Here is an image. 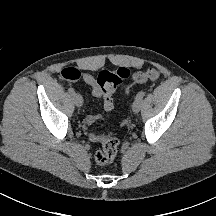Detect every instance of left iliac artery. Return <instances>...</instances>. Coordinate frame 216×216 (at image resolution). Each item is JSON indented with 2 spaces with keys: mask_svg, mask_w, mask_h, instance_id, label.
I'll use <instances>...</instances> for the list:
<instances>
[{
  "mask_svg": "<svg viewBox=\"0 0 216 216\" xmlns=\"http://www.w3.org/2000/svg\"><path fill=\"white\" fill-rule=\"evenodd\" d=\"M145 96V92L141 91L136 95V100H141Z\"/></svg>",
  "mask_w": 216,
  "mask_h": 216,
  "instance_id": "44dca946",
  "label": "left iliac artery"
}]
</instances>
